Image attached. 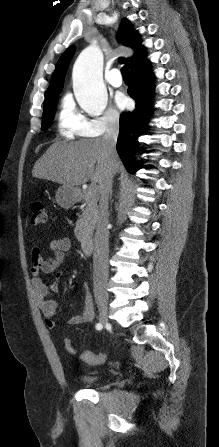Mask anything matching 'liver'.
<instances>
[{"label": "liver", "instance_id": "6515ba94", "mask_svg": "<svg viewBox=\"0 0 219 447\" xmlns=\"http://www.w3.org/2000/svg\"><path fill=\"white\" fill-rule=\"evenodd\" d=\"M108 158L103 138L77 142H56L36 161L32 175L65 186L74 187L89 180L93 184L104 181L108 172ZM120 168L118 155L113 162V175Z\"/></svg>", "mask_w": 219, "mask_h": 447}]
</instances>
